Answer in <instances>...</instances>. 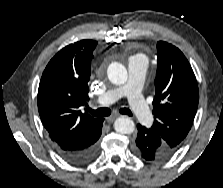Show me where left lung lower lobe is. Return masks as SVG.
I'll return each instance as SVG.
<instances>
[{
  "label": "left lung lower lobe",
  "instance_id": "left-lung-lower-lobe-1",
  "mask_svg": "<svg viewBox=\"0 0 223 188\" xmlns=\"http://www.w3.org/2000/svg\"><path fill=\"white\" fill-rule=\"evenodd\" d=\"M138 134L134 145L137 156L146 161H161L173 155L159 134L151 128L137 125Z\"/></svg>",
  "mask_w": 223,
  "mask_h": 188
}]
</instances>
